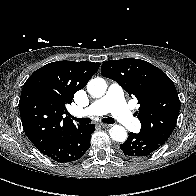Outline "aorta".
<instances>
[{
    "label": "aorta",
    "mask_w": 196,
    "mask_h": 196,
    "mask_svg": "<svg viewBox=\"0 0 196 196\" xmlns=\"http://www.w3.org/2000/svg\"><path fill=\"white\" fill-rule=\"evenodd\" d=\"M107 90L106 81L103 78L91 79L87 84L88 93L95 97H102ZM109 134L111 138L117 142H125L127 139V132L124 127L120 125H114L110 128Z\"/></svg>",
    "instance_id": "762f6f07"
}]
</instances>
